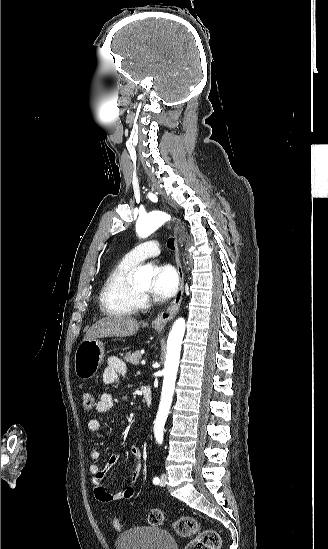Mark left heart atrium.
Instances as JSON below:
<instances>
[{"label":"left heart atrium","instance_id":"39dd6f15","mask_svg":"<svg viewBox=\"0 0 328 549\" xmlns=\"http://www.w3.org/2000/svg\"><path fill=\"white\" fill-rule=\"evenodd\" d=\"M179 284L176 269L171 264H161L154 268L149 292L157 300H167L175 295Z\"/></svg>","mask_w":328,"mask_h":549}]
</instances>
